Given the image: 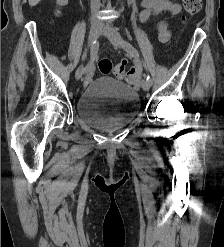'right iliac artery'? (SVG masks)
<instances>
[{"label": "right iliac artery", "mask_w": 224, "mask_h": 247, "mask_svg": "<svg viewBox=\"0 0 224 247\" xmlns=\"http://www.w3.org/2000/svg\"><path fill=\"white\" fill-rule=\"evenodd\" d=\"M99 49V43L97 40H95L91 46V57H90V61L89 63L86 65L85 69H84V73L86 74H90L93 67H94V61L97 58V52Z\"/></svg>", "instance_id": "right-iliac-artery-1"}]
</instances>
